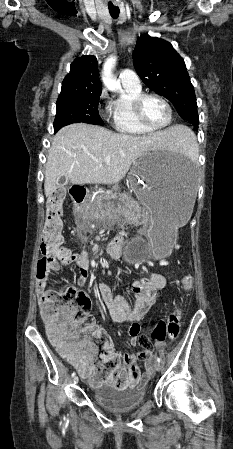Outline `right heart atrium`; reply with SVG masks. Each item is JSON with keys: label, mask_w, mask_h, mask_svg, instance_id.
Here are the masks:
<instances>
[{"label": "right heart atrium", "mask_w": 233, "mask_h": 449, "mask_svg": "<svg viewBox=\"0 0 233 449\" xmlns=\"http://www.w3.org/2000/svg\"><path fill=\"white\" fill-rule=\"evenodd\" d=\"M105 95V92H102V96H104Z\"/></svg>", "instance_id": "1"}]
</instances>
